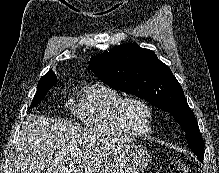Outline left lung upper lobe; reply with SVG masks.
Instances as JSON below:
<instances>
[{"label":"left lung upper lobe","instance_id":"5c2ea615","mask_svg":"<svg viewBox=\"0 0 219 173\" xmlns=\"http://www.w3.org/2000/svg\"><path fill=\"white\" fill-rule=\"evenodd\" d=\"M89 67L110 87L144 98L171 113L184 130L190 149L203 158V139L183 89L153 51L136 43L119 45L92 57Z\"/></svg>","mask_w":219,"mask_h":173}]
</instances>
